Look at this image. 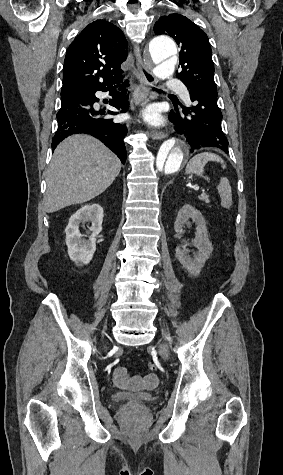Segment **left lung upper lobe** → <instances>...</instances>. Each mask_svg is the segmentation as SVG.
I'll return each instance as SVG.
<instances>
[{
    "mask_svg": "<svg viewBox=\"0 0 283 475\" xmlns=\"http://www.w3.org/2000/svg\"><path fill=\"white\" fill-rule=\"evenodd\" d=\"M156 35L166 34L180 45L179 63L182 67L177 78L187 87H202L217 91L214 82V64L207 35L187 17L170 14L159 18L154 25Z\"/></svg>",
    "mask_w": 283,
    "mask_h": 475,
    "instance_id": "obj_1",
    "label": "left lung upper lobe"
}]
</instances>
